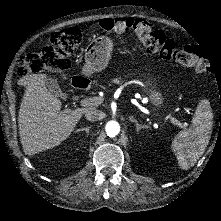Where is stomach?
<instances>
[{"mask_svg":"<svg viewBox=\"0 0 221 221\" xmlns=\"http://www.w3.org/2000/svg\"><path fill=\"white\" fill-rule=\"evenodd\" d=\"M113 43L105 36L94 39L85 50V62L87 71L92 74L103 70L110 59ZM149 89V99L156 107H161L164 101L162 94L155 89L150 78L145 82Z\"/></svg>","mask_w":221,"mask_h":221,"instance_id":"stomach-1","label":"stomach"}]
</instances>
